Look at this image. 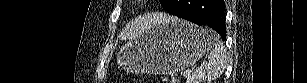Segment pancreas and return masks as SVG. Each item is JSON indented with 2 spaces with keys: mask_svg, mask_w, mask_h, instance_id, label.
Instances as JSON below:
<instances>
[{
  "mask_svg": "<svg viewBox=\"0 0 307 83\" xmlns=\"http://www.w3.org/2000/svg\"><path fill=\"white\" fill-rule=\"evenodd\" d=\"M172 83H176V81H172Z\"/></svg>",
  "mask_w": 307,
  "mask_h": 83,
  "instance_id": "1",
  "label": "pancreas"
}]
</instances>
